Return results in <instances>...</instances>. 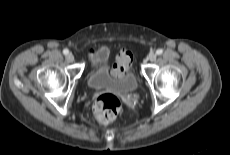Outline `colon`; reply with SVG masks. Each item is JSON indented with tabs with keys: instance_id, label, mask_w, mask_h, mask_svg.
<instances>
[{
	"instance_id": "obj_1",
	"label": "colon",
	"mask_w": 230,
	"mask_h": 155,
	"mask_svg": "<svg viewBox=\"0 0 230 155\" xmlns=\"http://www.w3.org/2000/svg\"><path fill=\"white\" fill-rule=\"evenodd\" d=\"M125 60H132L129 52H125ZM121 111L120 100L113 94L106 93L100 95L94 104V116L100 123L113 121Z\"/></svg>"
}]
</instances>
